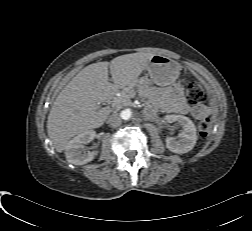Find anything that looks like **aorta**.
<instances>
[{"label": "aorta", "instance_id": "aorta-1", "mask_svg": "<svg viewBox=\"0 0 252 231\" xmlns=\"http://www.w3.org/2000/svg\"><path fill=\"white\" fill-rule=\"evenodd\" d=\"M133 113L130 109H125L120 113V116L123 120H129L132 117Z\"/></svg>", "mask_w": 252, "mask_h": 231}]
</instances>
